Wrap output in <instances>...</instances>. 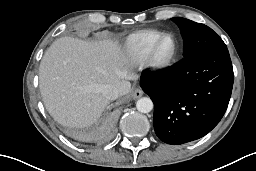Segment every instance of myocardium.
Returning <instances> with one entry per match:
<instances>
[{
  "instance_id": "myocardium-1",
  "label": "myocardium",
  "mask_w": 256,
  "mask_h": 171,
  "mask_svg": "<svg viewBox=\"0 0 256 171\" xmlns=\"http://www.w3.org/2000/svg\"><path fill=\"white\" fill-rule=\"evenodd\" d=\"M167 38L171 39L173 42L172 51L168 57L160 58L157 54L158 48L161 45V43ZM177 53H178V43L176 38L170 33H163L153 42L149 50V54L146 58L147 66L155 72H162L168 69L173 64V62L177 57Z\"/></svg>"
}]
</instances>
